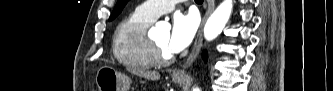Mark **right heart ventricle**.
<instances>
[{
    "label": "right heart ventricle",
    "instance_id": "1",
    "mask_svg": "<svg viewBox=\"0 0 333 91\" xmlns=\"http://www.w3.org/2000/svg\"><path fill=\"white\" fill-rule=\"evenodd\" d=\"M152 19L135 10L117 25L112 49L116 60L130 70H145L154 66L146 37Z\"/></svg>",
    "mask_w": 333,
    "mask_h": 91
}]
</instances>
